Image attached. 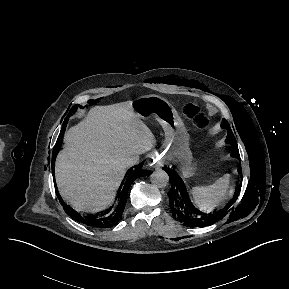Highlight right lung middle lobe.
Wrapping results in <instances>:
<instances>
[{"instance_id": "dd1d6c3e", "label": "right lung middle lobe", "mask_w": 289, "mask_h": 289, "mask_svg": "<svg viewBox=\"0 0 289 289\" xmlns=\"http://www.w3.org/2000/svg\"><path fill=\"white\" fill-rule=\"evenodd\" d=\"M76 109L77 107L74 106L71 110H73V113H74ZM68 119H69V116L65 119L64 124L67 123Z\"/></svg>"}]
</instances>
